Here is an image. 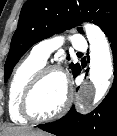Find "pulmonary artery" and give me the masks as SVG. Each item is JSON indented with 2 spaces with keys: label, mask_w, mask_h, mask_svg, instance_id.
<instances>
[{
  "label": "pulmonary artery",
  "mask_w": 117,
  "mask_h": 136,
  "mask_svg": "<svg viewBox=\"0 0 117 136\" xmlns=\"http://www.w3.org/2000/svg\"><path fill=\"white\" fill-rule=\"evenodd\" d=\"M66 38L61 35L52 36L37 43L31 51V54L42 62H45L50 57L51 53L59 48ZM68 40L72 44L73 48L78 51H85L87 49V43L83 36L78 34H72Z\"/></svg>",
  "instance_id": "e3ab8cb5"
}]
</instances>
